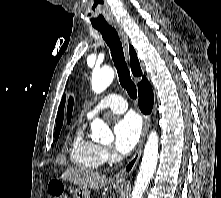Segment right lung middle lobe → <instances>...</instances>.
<instances>
[{
	"instance_id": "obj_1",
	"label": "right lung middle lobe",
	"mask_w": 221,
	"mask_h": 198,
	"mask_svg": "<svg viewBox=\"0 0 221 198\" xmlns=\"http://www.w3.org/2000/svg\"><path fill=\"white\" fill-rule=\"evenodd\" d=\"M59 133H60V131L55 132V140H57V139H58V137H59Z\"/></svg>"
}]
</instances>
